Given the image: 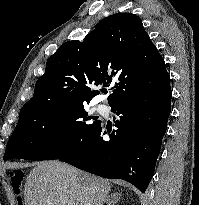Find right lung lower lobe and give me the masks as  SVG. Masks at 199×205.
Returning a JSON list of instances; mask_svg holds the SVG:
<instances>
[{"instance_id":"obj_1","label":"right lung lower lobe","mask_w":199,"mask_h":205,"mask_svg":"<svg viewBox=\"0 0 199 205\" xmlns=\"http://www.w3.org/2000/svg\"><path fill=\"white\" fill-rule=\"evenodd\" d=\"M171 96L168 72L140 79L109 104L118 115L110 140L101 137L106 134L101 124L86 146L59 160L104 178L126 180L145 192L166 132Z\"/></svg>"}]
</instances>
